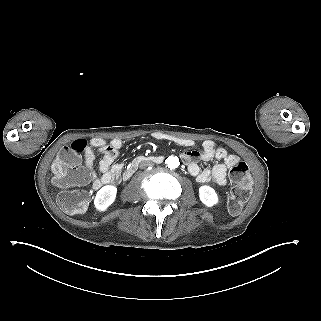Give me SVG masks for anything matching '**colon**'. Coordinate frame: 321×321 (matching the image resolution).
<instances>
[{
    "label": "colon",
    "mask_w": 321,
    "mask_h": 321,
    "mask_svg": "<svg viewBox=\"0 0 321 321\" xmlns=\"http://www.w3.org/2000/svg\"><path fill=\"white\" fill-rule=\"evenodd\" d=\"M87 148L88 142L78 139L60 150L52 165L54 180L58 186L69 188L87 184L88 173L80 165ZM229 178L233 187L228 197V209L232 215H238L252 191V178L248 166L244 162H237L230 167ZM88 200L89 195L84 188L65 190L58 198L61 208L71 215L84 213Z\"/></svg>",
    "instance_id": "5ec220e1"
}]
</instances>
